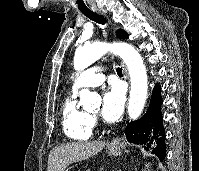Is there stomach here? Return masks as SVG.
<instances>
[{
    "label": "stomach",
    "mask_w": 199,
    "mask_h": 171,
    "mask_svg": "<svg viewBox=\"0 0 199 171\" xmlns=\"http://www.w3.org/2000/svg\"><path fill=\"white\" fill-rule=\"evenodd\" d=\"M108 154L113 156H119L122 154V147L120 145H108Z\"/></svg>",
    "instance_id": "0dacf381"
}]
</instances>
